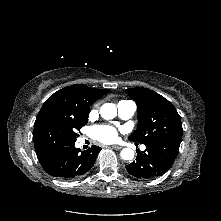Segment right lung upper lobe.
<instances>
[{
	"instance_id": "obj_1",
	"label": "right lung upper lobe",
	"mask_w": 221,
	"mask_h": 221,
	"mask_svg": "<svg viewBox=\"0 0 221 221\" xmlns=\"http://www.w3.org/2000/svg\"><path fill=\"white\" fill-rule=\"evenodd\" d=\"M108 92V89H95L86 85L74 84L55 92L43 106L56 105L72 114L89 115L90 106Z\"/></svg>"
}]
</instances>
